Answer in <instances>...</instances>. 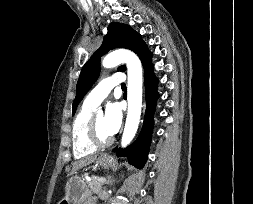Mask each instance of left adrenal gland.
Here are the masks:
<instances>
[{"instance_id": "a2214340", "label": "left adrenal gland", "mask_w": 253, "mask_h": 204, "mask_svg": "<svg viewBox=\"0 0 253 204\" xmlns=\"http://www.w3.org/2000/svg\"><path fill=\"white\" fill-rule=\"evenodd\" d=\"M114 182H115V179H112L111 176H108V180L106 181V184L113 185Z\"/></svg>"}]
</instances>
